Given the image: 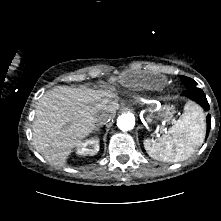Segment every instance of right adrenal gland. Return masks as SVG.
Returning a JSON list of instances; mask_svg holds the SVG:
<instances>
[{"label":"right adrenal gland","mask_w":221,"mask_h":221,"mask_svg":"<svg viewBox=\"0 0 221 221\" xmlns=\"http://www.w3.org/2000/svg\"><path fill=\"white\" fill-rule=\"evenodd\" d=\"M95 131L99 132V131H100V127H96V128L94 129V133H95Z\"/></svg>","instance_id":"right-adrenal-gland-1"}]
</instances>
